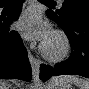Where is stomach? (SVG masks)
Listing matches in <instances>:
<instances>
[{"label": "stomach", "instance_id": "stomach-1", "mask_svg": "<svg viewBox=\"0 0 89 89\" xmlns=\"http://www.w3.org/2000/svg\"><path fill=\"white\" fill-rule=\"evenodd\" d=\"M45 89H73L71 84L66 83L60 79L53 78L46 86Z\"/></svg>", "mask_w": 89, "mask_h": 89}]
</instances>
